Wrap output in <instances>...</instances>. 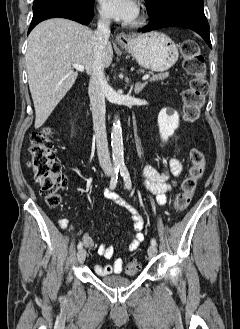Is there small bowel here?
Wrapping results in <instances>:
<instances>
[{"label": "small bowel", "mask_w": 240, "mask_h": 329, "mask_svg": "<svg viewBox=\"0 0 240 329\" xmlns=\"http://www.w3.org/2000/svg\"><path fill=\"white\" fill-rule=\"evenodd\" d=\"M182 172V167L177 160H171L168 169L158 170L150 165H146L143 168V175L145 178V186L152 193L157 195L158 201L164 204L167 200V193L170 192L175 186V182L171 180V176H178ZM106 196L116 205L123 207L130 213V220L134 234L131 238L126 251H135L141 242L144 241L145 235L143 233L144 220L138 210L131 205L124 198L113 192H106ZM62 228L67 227V222L63 221L60 223ZM83 242L86 247L91 248L94 246L93 238L88 234L84 233ZM99 256L105 259H111L114 256V248L109 245L101 244L97 248ZM124 261L121 258L116 259L114 262L107 265H95V272L99 276H107L111 274H118L122 271Z\"/></svg>", "instance_id": "small-bowel-1"}]
</instances>
